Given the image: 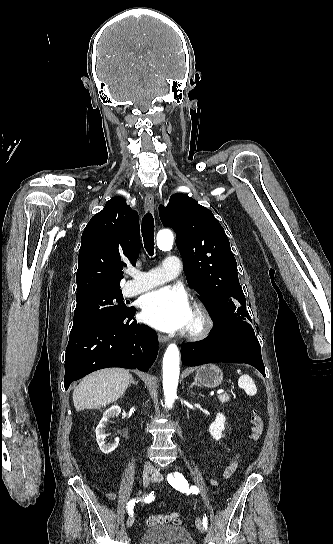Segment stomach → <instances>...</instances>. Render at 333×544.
Here are the masks:
<instances>
[{"label":"stomach","mask_w":333,"mask_h":544,"mask_svg":"<svg viewBox=\"0 0 333 544\" xmlns=\"http://www.w3.org/2000/svg\"><path fill=\"white\" fill-rule=\"evenodd\" d=\"M196 379L208 388H215L222 383L223 372L215 364H205L197 369Z\"/></svg>","instance_id":"obj_1"}]
</instances>
